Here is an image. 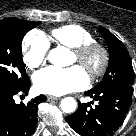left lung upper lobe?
Returning a JSON list of instances; mask_svg holds the SVG:
<instances>
[{
  "label": "left lung upper lobe",
  "mask_w": 136,
  "mask_h": 136,
  "mask_svg": "<svg viewBox=\"0 0 136 136\" xmlns=\"http://www.w3.org/2000/svg\"><path fill=\"white\" fill-rule=\"evenodd\" d=\"M110 51V61L103 80L93 89L133 86L134 71L124 44L104 27H99Z\"/></svg>",
  "instance_id": "5c2ea615"
}]
</instances>
